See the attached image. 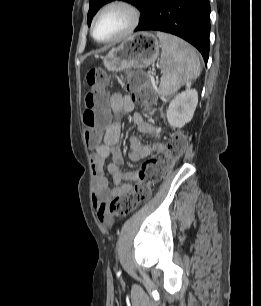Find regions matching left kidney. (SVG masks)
<instances>
[{"label": "left kidney", "mask_w": 261, "mask_h": 306, "mask_svg": "<svg viewBox=\"0 0 261 306\" xmlns=\"http://www.w3.org/2000/svg\"><path fill=\"white\" fill-rule=\"evenodd\" d=\"M198 103V93L188 89L176 95L167 109V120L170 126L182 128L190 122Z\"/></svg>", "instance_id": "1"}]
</instances>
